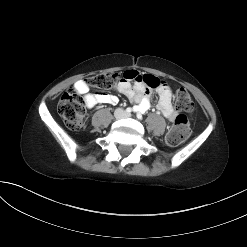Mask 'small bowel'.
Instances as JSON below:
<instances>
[{
    "label": "small bowel",
    "mask_w": 247,
    "mask_h": 247,
    "mask_svg": "<svg viewBox=\"0 0 247 247\" xmlns=\"http://www.w3.org/2000/svg\"><path fill=\"white\" fill-rule=\"evenodd\" d=\"M149 79L157 81V85L152 87ZM74 91L83 96V100L88 108H93L98 104H115L118 97L106 93H90L89 87L84 80L75 82ZM115 89L126 95L133 103L136 112H146L150 107V96L155 91L159 97L157 107L165 118L170 121L176 119V112L172 106V90L163 81L152 75H142L135 70L124 71L121 79L115 85Z\"/></svg>",
    "instance_id": "1"
}]
</instances>
